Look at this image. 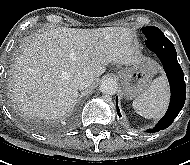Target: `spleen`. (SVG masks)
<instances>
[{
	"mask_svg": "<svg viewBox=\"0 0 190 165\" xmlns=\"http://www.w3.org/2000/svg\"><path fill=\"white\" fill-rule=\"evenodd\" d=\"M169 88L164 76L154 79L149 88L133 101L134 110L148 119L160 118L168 104Z\"/></svg>",
	"mask_w": 190,
	"mask_h": 165,
	"instance_id": "1",
	"label": "spleen"
}]
</instances>
